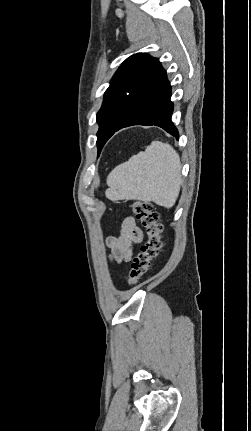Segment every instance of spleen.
<instances>
[{"label":"spleen","instance_id":"3e777b00","mask_svg":"<svg viewBox=\"0 0 251 431\" xmlns=\"http://www.w3.org/2000/svg\"><path fill=\"white\" fill-rule=\"evenodd\" d=\"M181 163L168 143L153 141L144 152L116 166L107 177L106 196L113 201H153L171 208L179 195Z\"/></svg>","mask_w":251,"mask_h":431}]
</instances>
